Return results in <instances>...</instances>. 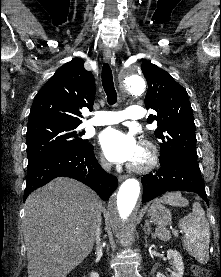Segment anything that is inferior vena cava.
I'll return each instance as SVG.
<instances>
[{
  "mask_svg": "<svg viewBox=\"0 0 221 277\" xmlns=\"http://www.w3.org/2000/svg\"><path fill=\"white\" fill-rule=\"evenodd\" d=\"M102 167L108 172L111 169V165L109 163H103ZM100 225H101V217H99L97 220L96 231H95L96 243H97L98 248H100V241H101Z\"/></svg>",
  "mask_w": 221,
  "mask_h": 277,
  "instance_id": "obj_1",
  "label": "inferior vena cava"
}]
</instances>
